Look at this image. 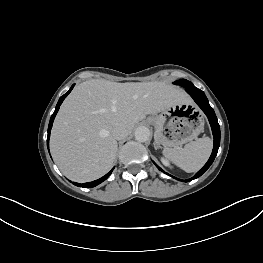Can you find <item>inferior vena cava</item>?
<instances>
[{
  "instance_id": "602c4592",
  "label": "inferior vena cava",
  "mask_w": 263,
  "mask_h": 263,
  "mask_svg": "<svg viewBox=\"0 0 263 263\" xmlns=\"http://www.w3.org/2000/svg\"><path fill=\"white\" fill-rule=\"evenodd\" d=\"M128 130L125 125L123 124H117L113 129H112V136L116 140H121L124 139L125 137L128 136Z\"/></svg>"
}]
</instances>
